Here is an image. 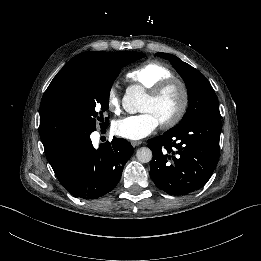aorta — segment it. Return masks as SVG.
<instances>
[{
    "instance_id": "762f6f07",
    "label": "aorta",
    "mask_w": 261,
    "mask_h": 261,
    "mask_svg": "<svg viewBox=\"0 0 261 261\" xmlns=\"http://www.w3.org/2000/svg\"><path fill=\"white\" fill-rule=\"evenodd\" d=\"M144 91L142 86H139V90L132 91L127 95L131 98V102L133 103L137 112H144L143 105L149 99V96L141 93ZM136 158L140 163H148L152 160V151L148 147H141L136 152Z\"/></svg>"
}]
</instances>
